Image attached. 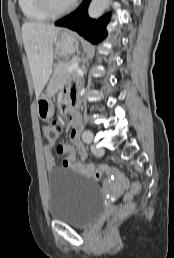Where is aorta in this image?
<instances>
[{
    "mask_svg": "<svg viewBox=\"0 0 174 258\" xmlns=\"http://www.w3.org/2000/svg\"><path fill=\"white\" fill-rule=\"evenodd\" d=\"M108 3L109 0H92L88 8L89 17L93 19L100 17L105 11Z\"/></svg>",
    "mask_w": 174,
    "mask_h": 258,
    "instance_id": "1",
    "label": "aorta"
}]
</instances>
